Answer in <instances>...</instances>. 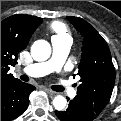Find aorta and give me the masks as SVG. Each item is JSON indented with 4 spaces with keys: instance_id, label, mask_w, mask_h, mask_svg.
<instances>
[{
    "instance_id": "aorta-1",
    "label": "aorta",
    "mask_w": 121,
    "mask_h": 121,
    "mask_svg": "<svg viewBox=\"0 0 121 121\" xmlns=\"http://www.w3.org/2000/svg\"><path fill=\"white\" fill-rule=\"evenodd\" d=\"M51 55V46L45 40H37L31 46V56L35 61H45ZM65 97L58 95L53 99V106L56 110H63L66 107Z\"/></svg>"
}]
</instances>
